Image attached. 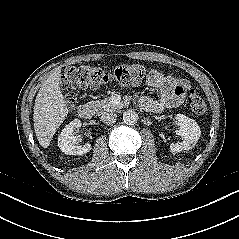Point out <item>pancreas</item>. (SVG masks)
<instances>
[{
  "label": "pancreas",
  "instance_id": "obj_1",
  "mask_svg": "<svg viewBox=\"0 0 239 239\" xmlns=\"http://www.w3.org/2000/svg\"><path fill=\"white\" fill-rule=\"evenodd\" d=\"M90 103L96 108L97 111L101 113L115 111L122 106L121 103L115 104L112 98H104L103 100H96Z\"/></svg>",
  "mask_w": 239,
  "mask_h": 239
}]
</instances>
